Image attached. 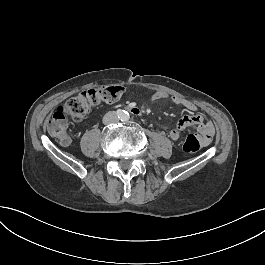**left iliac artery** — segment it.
Segmentation results:
<instances>
[{"label": "left iliac artery", "instance_id": "left-iliac-artery-1", "mask_svg": "<svg viewBox=\"0 0 265 265\" xmlns=\"http://www.w3.org/2000/svg\"><path fill=\"white\" fill-rule=\"evenodd\" d=\"M123 119H124V120H128V119H129V114L127 113V114L124 116Z\"/></svg>", "mask_w": 265, "mask_h": 265}]
</instances>
